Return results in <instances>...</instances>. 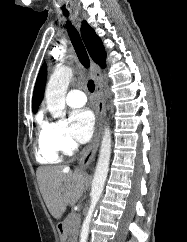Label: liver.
Listing matches in <instances>:
<instances>
[{
  "mask_svg": "<svg viewBox=\"0 0 187 242\" xmlns=\"http://www.w3.org/2000/svg\"><path fill=\"white\" fill-rule=\"evenodd\" d=\"M36 174L44 202L56 219L62 217L69 204L77 203L88 181L81 170L71 171L69 167L62 166L40 167Z\"/></svg>",
  "mask_w": 187,
  "mask_h": 242,
  "instance_id": "obj_1",
  "label": "liver"
}]
</instances>
